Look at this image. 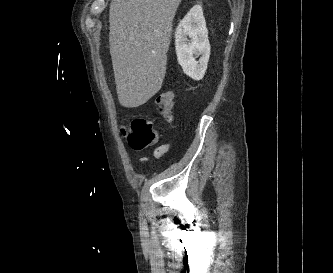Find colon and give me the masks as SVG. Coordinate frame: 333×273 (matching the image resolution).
Returning <instances> with one entry per match:
<instances>
[{
    "label": "colon",
    "instance_id": "1",
    "mask_svg": "<svg viewBox=\"0 0 333 273\" xmlns=\"http://www.w3.org/2000/svg\"><path fill=\"white\" fill-rule=\"evenodd\" d=\"M159 113L165 120L171 121L174 107L172 92L165 91L156 98ZM129 145L134 150H143L153 145L157 139V130L152 121L144 118H136L121 129Z\"/></svg>",
    "mask_w": 333,
    "mask_h": 273
}]
</instances>
